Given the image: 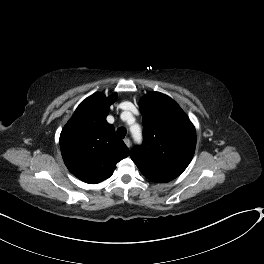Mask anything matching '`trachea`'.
<instances>
[{
  "label": "trachea",
  "instance_id": "1",
  "mask_svg": "<svg viewBox=\"0 0 264 264\" xmlns=\"http://www.w3.org/2000/svg\"><path fill=\"white\" fill-rule=\"evenodd\" d=\"M127 130L125 128H118L117 135L120 139H123L126 136Z\"/></svg>",
  "mask_w": 264,
  "mask_h": 264
}]
</instances>
